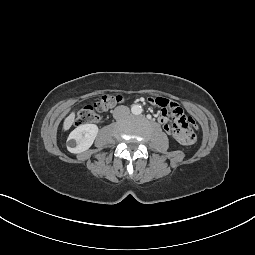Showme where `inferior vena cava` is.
<instances>
[{
    "label": "inferior vena cava",
    "instance_id": "inferior-vena-cava-1",
    "mask_svg": "<svg viewBox=\"0 0 255 255\" xmlns=\"http://www.w3.org/2000/svg\"><path fill=\"white\" fill-rule=\"evenodd\" d=\"M130 110L127 106L121 105V106H117L114 111H113V117L115 119H119L122 117H125L127 115H129Z\"/></svg>",
    "mask_w": 255,
    "mask_h": 255
}]
</instances>
